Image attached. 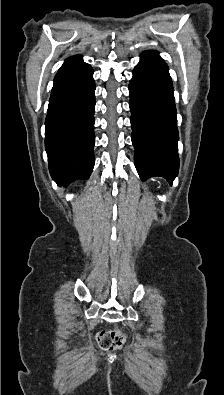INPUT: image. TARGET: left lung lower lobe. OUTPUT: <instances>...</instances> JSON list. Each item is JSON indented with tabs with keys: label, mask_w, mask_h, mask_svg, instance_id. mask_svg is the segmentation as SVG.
<instances>
[{
	"label": "left lung lower lobe",
	"mask_w": 224,
	"mask_h": 395,
	"mask_svg": "<svg viewBox=\"0 0 224 395\" xmlns=\"http://www.w3.org/2000/svg\"><path fill=\"white\" fill-rule=\"evenodd\" d=\"M154 50L141 54L129 83L132 143L141 180L178 174V130L169 68Z\"/></svg>",
	"instance_id": "1"
}]
</instances>
